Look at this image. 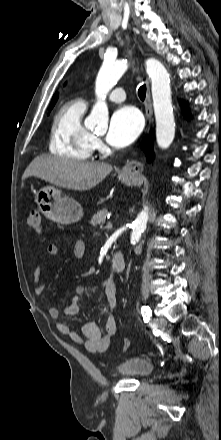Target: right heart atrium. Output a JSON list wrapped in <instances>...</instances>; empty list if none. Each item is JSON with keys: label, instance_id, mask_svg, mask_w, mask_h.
<instances>
[{"label": "right heart atrium", "instance_id": "1", "mask_svg": "<svg viewBox=\"0 0 221 440\" xmlns=\"http://www.w3.org/2000/svg\"><path fill=\"white\" fill-rule=\"evenodd\" d=\"M93 145H94V149H101L103 147L102 141L97 136H94L93 138Z\"/></svg>", "mask_w": 221, "mask_h": 440}]
</instances>
